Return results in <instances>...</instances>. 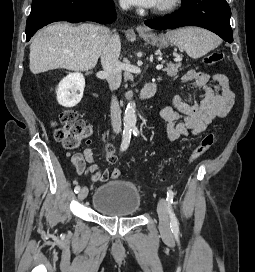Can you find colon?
<instances>
[{
    "instance_id": "5ec220e1",
    "label": "colon",
    "mask_w": 255,
    "mask_h": 272,
    "mask_svg": "<svg viewBox=\"0 0 255 272\" xmlns=\"http://www.w3.org/2000/svg\"><path fill=\"white\" fill-rule=\"evenodd\" d=\"M224 57L225 54L222 51H215L210 53L204 62L206 65L211 66L223 61ZM56 126L55 139L69 150L79 147L88 138L91 131L88 124L73 109H65L60 112L56 120ZM215 137V133H207L193 149L189 162L195 163L198 161L214 145ZM111 174L112 178L116 179L120 176V171L115 169Z\"/></svg>"
}]
</instances>
